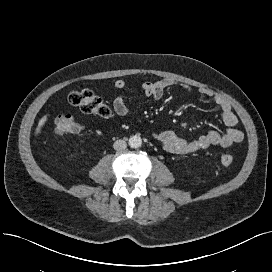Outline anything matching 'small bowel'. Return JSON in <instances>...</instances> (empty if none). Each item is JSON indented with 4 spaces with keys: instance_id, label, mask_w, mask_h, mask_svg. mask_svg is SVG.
Returning <instances> with one entry per match:
<instances>
[{
    "instance_id": "obj_1",
    "label": "small bowel",
    "mask_w": 272,
    "mask_h": 272,
    "mask_svg": "<svg viewBox=\"0 0 272 272\" xmlns=\"http://www.w3.org/2000/svg\"><path fill=\"white\" fill-rule=\"evenodd\" d=\"M113 86L116 89H123L126 87V82L119 79L114 82ZM170 87H179L187 92H192L190 86L169 78L145 82L142 84L141 89L145 96L152 98L153 100H160L163 97L165 90ZM199 93L202 96L213 99L214 103L221 111L222 121L227 127L226 131L223 133L209 131L195 139H185L178 136L173 131L154 133V138L164 150L174 154H187L205 150L212 146L228 148L244 139V133L238 128L239 119L235 115L231 104L224 97L215 94L210 89H201ZM113 107L114 111L119 116H126L130 112L125 97L123 96H119L115 99Z\"/></svg>"
}]
</instances>
